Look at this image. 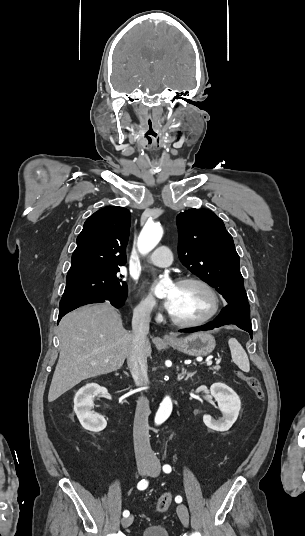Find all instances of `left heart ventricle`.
Returning <instances> with one entry per match:
<instances>
[{"instance_id": "left-heart-ventricle-1", "label": "left heart ventricle", "mask_w": 305, "mask_h": 536, "mask_svg": "<svg viewBox=\"0 0 305 536\" xmlns=\"http://www.w3.org/2000/svg\"><path fill=\"white\" fill-rule=\"evenodd\" d=\"M172 301L170 310L186 319H202L215 307L212 293L199 284L175 285L167 290Z\"/></svg>"}]
</instances>
